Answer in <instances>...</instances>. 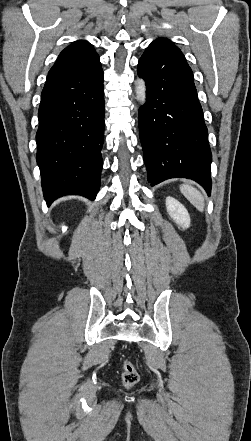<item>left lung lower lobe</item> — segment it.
Here are the masks:
<instances>
[{"instance_id":"left-lung-lower-lobe-1","label":"left lung lower lobe","mask_w":251,"mask_h":441,"mask_svg":"<svg viewBox=\"0 0 251 441\" xmlns=\"http://www.w3.org/2000/svg\"><path fill=\"white\" fill-rule=\"evenodd\" d=\"M146 82L139 135L148 182L184 177L211 192L212 161L207 128L191 68L182 52L149 45L138 62Z\"/></svg>"}]
</instances>
